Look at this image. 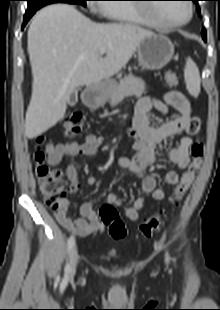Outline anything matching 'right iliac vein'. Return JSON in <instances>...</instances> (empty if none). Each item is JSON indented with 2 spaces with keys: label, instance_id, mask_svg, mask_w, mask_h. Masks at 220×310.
Returning a JSON list of instances; mask_svg holds the SVG:
<instances>
[{
  "label": "right iliac vein",
  "instance_id": "1",
  "mask_svg": "<svg viewBox=\"0 0 220 310\" xmlns=\"http://www.w3.org/2000/svg\"><path fill=\"white\" fill-rule=\"evenodd\" d=\"M77 264H78L77 248L73 247L70 252V264H69V270L67 272L69 276H73L75 274Z\"/></svg>",
  "mask_w": 220,
  "mask_h": 310
}]
</instances>
